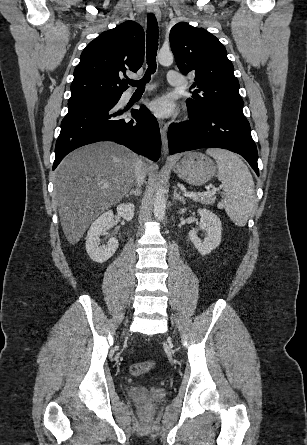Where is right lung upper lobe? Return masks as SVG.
I'll return each mask as SVG.
<instances>
[{"instance_id":"cb5924a9","label":"right lung upper lobe","mask_w":307,"mask_h":445,"mask_svg":"<svg viewBox=\"0 0 307 445\" xmlns=\"http://www.w3.org/2000/svg\"><path fill=\"white\" fill-rule=\"evenodd\" d=\"M144 60V31L126 21L91 41L74 70L69 101L100 96H121L128 88L126 71L136 72Z\"/></svg>"}]
</instances>
